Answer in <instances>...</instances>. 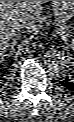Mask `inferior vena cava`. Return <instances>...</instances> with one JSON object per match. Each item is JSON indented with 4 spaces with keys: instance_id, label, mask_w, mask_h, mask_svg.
Masks as SVG:
<instances>
[{
    "instance_id": "602c4592",
    "label": "inferior vena cava",
    "mask_w": 74,
    "mask_h": 122,
    "mask_svg": "<svg viewBox=\"0 0 74 122\" xmlns=\"http://www.w3.org/2000/svg\"><path fill=\"white\" fill-rule=\"evenodd\" d=\"M14 27L18 32H20L25 28V23L16 22Z\"/></svg>"
}]
</instances>
